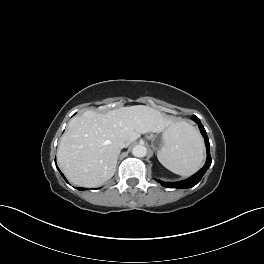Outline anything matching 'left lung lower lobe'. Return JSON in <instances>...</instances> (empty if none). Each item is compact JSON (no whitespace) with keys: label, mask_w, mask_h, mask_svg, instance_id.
Masks as SVG:
<instances>
[{"label":"left lung lower lobe","mask_w":264,"mask_h":264,"mask_svg":"<svg viewBox=\"0 0 264 264\" xmlns=\"http://www.w3.org/2000/svg\"><path fill=\"white\" fill-rule=\"evenodd\" d=\"M192 120H194L199 125L201 134L203 135V137L205 139V144H206V148H207V161L201 170H199L195 175H193L192 177H190L186 180H182V181L175 182V183H166V182H162V181L157 180L164 187L178 188V189L193 187L194 185H196L201 180L202 176L204 175V173L207 171V169L211 165L212 159L210 156V144H209V139L207 137V133H206L203 125L201 124V122L197 116L192 117Z\"/></svg>","instance_id":"obj_1"}]
</instances>
